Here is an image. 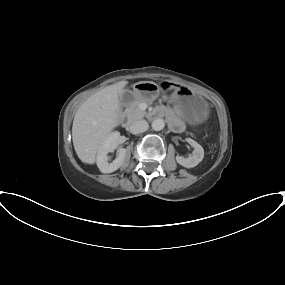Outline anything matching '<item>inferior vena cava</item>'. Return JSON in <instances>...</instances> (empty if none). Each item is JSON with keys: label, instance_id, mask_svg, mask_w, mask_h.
<instances>
[{"label": "inferior vena cava", "instance_id": "inferior-vena-cava-1", "mask_svg": "<svg viewBox=\"0 0 285 285\" xmlns=\"http://www.w3.org/2000/svg\"><path fill=\"white\" fill-rule=\"evenodd\" d=\"M147 129H148V123L146 120L135 121L129 127V131L132 134H139L145 132Z\"/></svg>", "mask_w": 285, "mask_h": 285}]
</instances>
